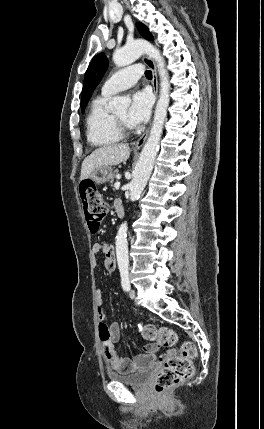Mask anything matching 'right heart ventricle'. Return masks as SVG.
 Returning a JSON list of instances; mask_svg holds the SVG:
<instances>
[{"label": "right heart ventricle", "mask_w": 264, "mask_h": 429, "mask_svg": "<svg viewBox=\"0 0 264 429\" xmlns=\"http://www.w3.org/2000/svg\"><path fill=\"white\" fill-rule=\"evenodd\" d=\"M110 95L101 94L91 103L86 118V135L89 143L95 147H107L122 138L117 131L112 114L108 110Z\"/></svg>", "instance_id": "right-heart-ventricle-1"}]
</instances>
